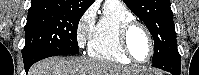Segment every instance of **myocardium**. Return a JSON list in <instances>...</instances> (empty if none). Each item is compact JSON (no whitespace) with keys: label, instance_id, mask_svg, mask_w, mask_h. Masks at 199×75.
I'll return each mask as SVG.
<instances>
[{"label":"myocardium","instance_id":"obj_1","mask_svg":"<svg viewBox=\"0 0 199 75\" xmlns=\"http://www.w3.org/2000/svg\"><path fill=\"white\" fill-rule=\"evenodd\" d=\"M134 28H139L141 30L144 31V33L146 34L148 41H149V45H150V52L148 57L143 60V61H138L133 54L131 53L130 49H129V44H128V39H129V35L130 32L134 29ZM119 41L121 44V47L125 53V55L133 62L136 64H147L153 54H154V50H155V46H154V40L153 37L151 35V32L149 31V29L146 27V25H144L142 22L136 20V19H132L126 23H124L122 25V27L120 28L119 31Z\"/></svg>","mask_w":199,"mask_h":75}]
</instances>
